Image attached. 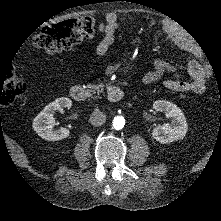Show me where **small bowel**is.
<instances>
[{
    "label": "small bowel",
    "instance_id": "obj_1",
    "mask_svg": "<svg viewBox=\"0 0 221 221\" xmlns=\"http://www.w3.org/2000/svg\"><path fill=\"white\" fill-rule=\"evenodd\" d=\"M118 19L119 16L111 12L107 14L105 22L99 25L98 29L103 34V38L96 46L95 52L97 56H105L114 44ZM166 33L181 49L186 51L192 50L193 45L190 40L174 34L171 28H166ZM120 66L121 63H113L108 66L107 70L112 73L119 69ZM186 66L191 80L166 79L163 82L164 87L175 92L203 93L207 88V71L195 60H188ZM164 72L176 73L177 67L163 59H156L154 61V69L145 73L142 80L146 84H153L161 78Z\"/></svg>",
    "mask_w": 221,
    "mask_h": 221
}]
</instances>
